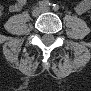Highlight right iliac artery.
<instances>
[{
    "label": "right iliac artery",
    "mask_w": 91,
    "mask_h": 91,
    "mask_svg": "<svg viewBox=\"0 0 91 91\" xmlns=\"http://www.w3.org/2000/svg\"><path fill=\"white\" fill-rule=\"evenodd\" d=\"M51 3L48 1V0H43V1H39L36 5V6H39V7H48L50 6Z\"/></svg>",
    "instance_id": "82829eb1"
}]
</instances>
